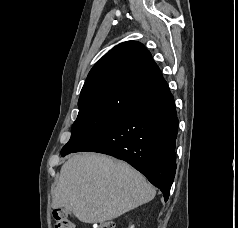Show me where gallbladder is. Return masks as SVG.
Returning <instances> with one entry per match:
<instances>
[{"mask_svg":"<svg viewBox=\"0 0 238 228\" xmlns=\"http://www.w3.org/2000/svg\"><path fill=\"white\" fill-rule=\"evenodd\" d=\"M66 212H68V213H71V210H69V209H66Z\"/></svg>","mask_w":238,"mask_h":228,"instance_id":"gallbladder-1","label":"gallbladder"}]
</instances>
